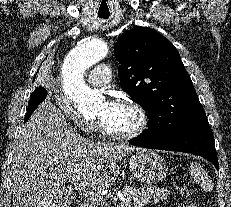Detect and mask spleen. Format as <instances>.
<instances>
[{
	"label": "spleen",
	"mask_w": 231,
	"mask_h": 207,
	"mask_svg": "<svg viewBox=\"0 0 231 207\" xmlns=\"http://www.w3.org/2000/svg\"><path fill=\"white\" fill-rule=\"evenodd\" d=\"M201 166L198 163H191L190 173L194 177V180L198 183L202 182L203 177H201L202 171Z\"/></svg>",
	"instance_id": "obj_1"
}]
</instances>
